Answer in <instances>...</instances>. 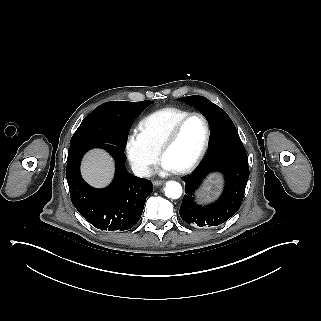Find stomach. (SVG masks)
<instances>
[{"label":"stomach","mask_w":321,"mask_h":321,"mask_svg":"<svg viewBox=\"0 0 321 321\" xmlns=\"http://www.w3.org/2000/svg\"><path fill=\"white\" fill-rule=\"evenodd\" d=\"M221 183L222 182L220 176L210 177L209 181L203 187L202 191L198 193L199 198L204 201H210L214 199L220 192Z\"/></svg>","instance_id":"1"}]
</instances>
